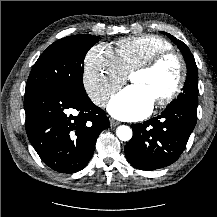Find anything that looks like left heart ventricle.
Here are the masks:
<instances>
[{"mask_svg":"<svg viewBox=\"0 0 217 217\" xmlns=\"http://www.w3.org/2000/svg\"><path fill=\"white\" fill-rule=\"evenodd\" d=\"M177 68L174 61L169 60L155 72H137L130 76L132 85L144 89L155 102L166 96L174 87Z\"/></svg>","mask_w":217,"mask_h":217,"instance_id":"left-heart-ventricle-1","label":"left heart ventricle"}]
</instances>
